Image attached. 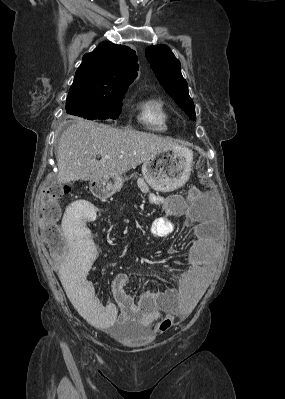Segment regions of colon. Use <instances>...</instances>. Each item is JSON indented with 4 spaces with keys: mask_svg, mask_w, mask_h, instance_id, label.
<instances>
[{
    "mask_svg": "<svg viewBox=\"0 0 285 399\" xmlns=\"http://www.w3.org/2000/svg\"><path fill=\"white\" fill-rule=\"evenodd\" d=\"M201 180L205 181L206 179L201 177ZM94 191L97 195H101L98 190L94 189ZM66 194L67 192L61 185L49 184L41 193L37 209L39 220L42 223L40 227L41 236L45 240L48 250L58 260L65 259L69 254L64 230L59 224L60 206ZM189 195L196 198L201 195V190L192 188L189 191ZM87 220L90 222L89 219ZM91 251L93 250L91 249Z\"/></svg>",
    "mask_w": 285,
    "mask_h": 399,
    "instance_id": "1",
    "label": "colon"
}]
</instances>
